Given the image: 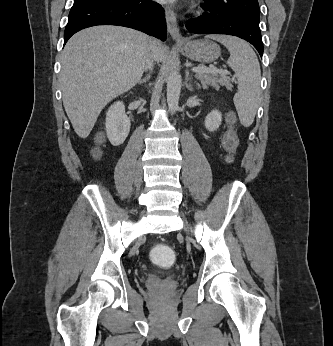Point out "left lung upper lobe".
<instances>
[{
	"instance_id": "obj_1",
	"label": "left lung upper lobe",
	"mask_w": 333,
	"mask_h": 346,
	"mask_svg": "<svg viewBox=\"0 0 333 346\" xmlns=\"http://www.w3.org/2000/svg\"><path fill=\"white\" fill-rule=\"evenodd\" d=\"M214 7L224 9L233 15L242 16L259 23L260 10L257 0H204Z\"/></svg>"
}]
</instances>
